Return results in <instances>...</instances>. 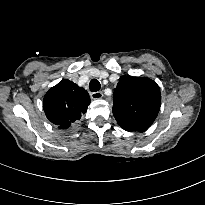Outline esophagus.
Segmentation results:
<instances>
[{
    "label": "esophagus",
    "mask_w": 205,
    "mask_h": 205,
    "mask_svg": "<svg viewBox=\"0 0 205 205\" xmlns=\"http://www.w3.org/2000/svg\"><path fill=\"white\" fill-rule=\"evenodd\" d=\"M102 97H103V93L101 91L91 93V98L94 99V100L100 99Z\"/></svg>",
    "instance_id": "34e87169"
}]
</instances>
